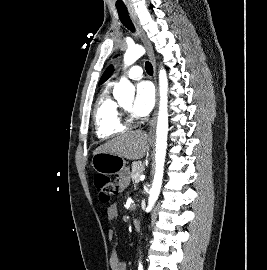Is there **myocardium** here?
I'll use <instances>...</instances> for the list:
<instances>
[{
	"label": "myocardium",
	"mask_w": 267,
	"mask_h": 270,
	"mask_svg": "<svg viewBox=\"0 0 267 270\" xmlns=\"http://www.w3.org/2000/svg\"><path fill=\"white\" fill-rule=\"evenodd\" d=\"M120 112H121V119L122 122L127 125L131 126L137 122V119L132 115L129 109L125 108L123 105L120 106Z\"/></svg>",
	"instance_id": "obj_1"
}]
</instances>
